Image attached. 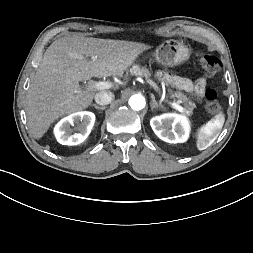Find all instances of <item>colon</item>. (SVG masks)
<instances>
[{"label": "colon", "mask_w": 253, "mask_h": 253, "mask_svg": "<svg viewBox=\"0 0 253 253\" xmlns=\"http://www.w3.org/2000/svg\"><path fill=\"white\" fill-rule=\"evenodd\" d=\"M199 63L203 72L209 76L217 74L221 69V62L213 55L200 53L198 55ZM205 108L209 113H217L221 106L218 101V96L214 90H207L205 92Z\"/></svg>", "instance_id": "obj_1"}]
</instances>
